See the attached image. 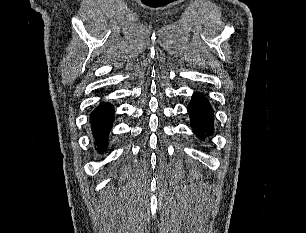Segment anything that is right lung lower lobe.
Wrapping results in <instances>:
<instances>
[{
  "label": "right lung lower lobe",
  "instance_id": "1",
  "mask_svg": "<svg viewBox=\"0 0 306 233\" xmlns=\"http://www.w3.org/2000/svg\"><path fill=\"white\" fill-rule=\"evenodd\" d=\"M114 120V108L109 103H101L91 113V127L93 135L96 138L97 151H105L108 142V133L112 128Z\"/></svg>",
  "mask_w": 306,
  "mask_h": 233
}]
</instances>
